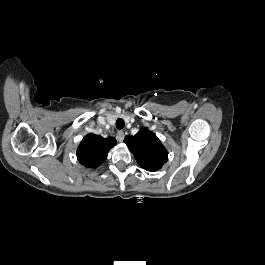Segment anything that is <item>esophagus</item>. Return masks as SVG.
I'll return each instance as SVG.
<instances>
[{
  "label": "esophagus",
  "mask_w": 265,
  "mask_h": 265,
  "mask_svg": "<svg viewBox=\"0 0 265 265\" xmlns=\"http://www.w3.org/2000/svg\"><path fill=\"white\" fill-rule=\"evenodd\" d=\"M124 132L123 131H118L117 135H116V138L119 142H122L124 140Z\"/></svg>",
  "instance_id": "obj_1"
}]
</instances>
